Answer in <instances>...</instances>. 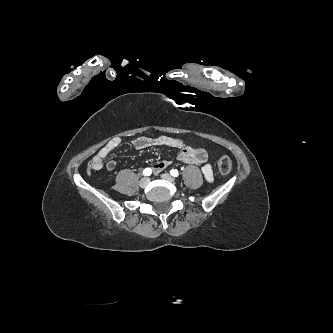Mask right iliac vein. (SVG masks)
<instances>
[{"label": "right iliac vein", "instance_id": "63e3f726", "mask_svg": "<svg viewBox=\"0 0 333 333\" xmlns=\"http://www.w3.org/2000/svg\"><path fill=\"white\" fill-rule=\"evenodd\" d=\"M150 183V179L149 178H142L139 182L140 187L145 188L146 186H148V184Z\"/></svg>", "mask_w": 333, "mask_h": 333}]
</instances>
